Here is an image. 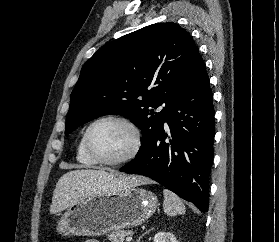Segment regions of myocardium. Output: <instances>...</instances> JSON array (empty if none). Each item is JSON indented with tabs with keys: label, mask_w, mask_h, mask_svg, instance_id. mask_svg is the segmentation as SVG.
<instances>
[{
	"label": "myocardium",
	"mask_w": 279,
	"mask_h": 242,
	"mask_svg": "<svg viewBox=\"0 0 279 242\" xmlns=\"http://www.w3.org/2000/svg\"><path fill=\"white\" fill-rule=\"evenodd\" d=\"M114 121L125 125L132 133V147L128 153L118 159L107 160L99 157L91 147V132L95 126L102 122ZM84 147L88 156L97 164L107 166H118L128 163L135 159L142 147V133L138 125L130 118L120 115H105L95 119L86 129L84 133Z\"/></svg>",
	"instance_id": "obj_1"
}]
</instances>
